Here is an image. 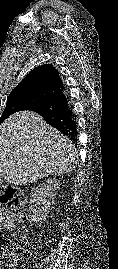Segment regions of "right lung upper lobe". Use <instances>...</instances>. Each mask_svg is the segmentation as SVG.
<instances>
[{"mask_svg": "<svg viewBox=\"0 0 118 269\" xmlns=\"http://www.w3.org/2000/svg\"><path fill=\"white\" fill-rule=\"evenodd\" d=\"M64 89L57 70L51 64H45L31 70L10 95H20L25 110L28 106Z\"/></svg>", "mask_w": 118, "mask_h": 269, "instance_id": "cb5924a9", "label": "right lung upper lobe"}]
</instances>
